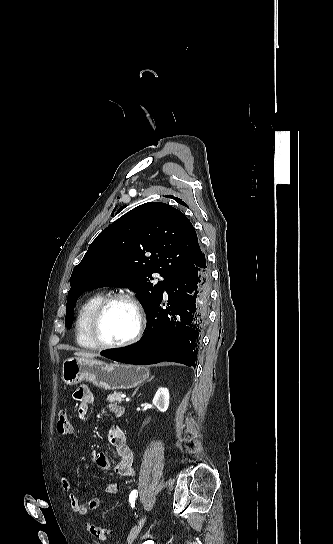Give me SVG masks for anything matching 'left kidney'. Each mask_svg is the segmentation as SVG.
Masks as SVG:
<instances>
[{"label":"left kidney","instance_id":"1","mask_svg":"<svg viewBox=\"0 0 333 544\" xmlns=\"http://www.w3.org/2000/svg\"><path fill=\"white\" fill-rule=\"evenodd\" d=\"M169 390L167 388H159L153 398V404L160 412H166L169 407Z\"/></svg>","mask_w":333,"mask_h":544}]
</instances>
